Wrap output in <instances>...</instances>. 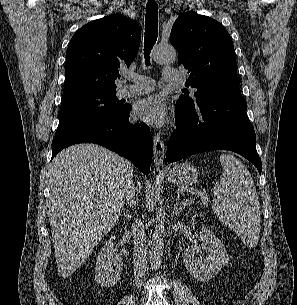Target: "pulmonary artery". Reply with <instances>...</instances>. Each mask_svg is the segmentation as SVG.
Returning a JSON list of instances; mask_svg holds the SVG:
<instances>
[{
	"label": "pulmonary artery",
	"instance_id": "e3ab8cb5",
	"mask_svg": "<svg viewBox=\"0 0 297 305\" xmlns=\"http://www.w3.org/2000/svg\"><path fill=\"white\" fill-rule=\"evenodd\" d=\"M126 80L133 81V85H124L119 89L120 97H132L148 93L154 88V82L152 79L138 75L135 73H128L125 76ZM163 79L166 82H178L179 72L174 69H165L163 71Z\"/></svg>",
	"mask_w": 297,
	"mask_h": 305
}]
</instances>
